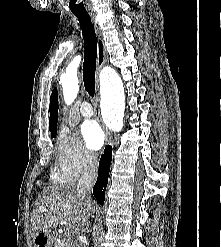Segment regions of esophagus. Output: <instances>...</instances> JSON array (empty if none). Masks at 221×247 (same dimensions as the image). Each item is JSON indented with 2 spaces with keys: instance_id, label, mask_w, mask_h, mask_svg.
<instances>
[{
  "instance_id": "34e87169",
  "label": "esophagus",
  "mask_w": 221,
  "mask_h": 247,
  "mask_svg": "<svg viewBox=\"0 0 221 247\" xmlns=\"http://www.w3.org/2000/svg\"><path fill=\"white\" fill-rule=\"evenodd\" d=\"M92 21L94 24V29H95L96 37H97V73H98L100 69L102 68V66L105 64V62L107 61V52H106V47L104 44L102 30L94 17H92ZM98 101H99V97L97 95V102ZM99 117H100V114H99ZM105 135H106L107 142L109 144H112L113 137L110 134V132L107 130V128H105Z\"/></svg>"
}]
</instances>
